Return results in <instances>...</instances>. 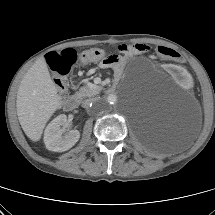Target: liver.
Here are the masks:
<instances>
[{
	"label": "liver",
	"mask_w": 215,
	"mask_h": 215,
	"mask_svg": "<svg viewBox=\"0 0 215 215\" xmlns=\"http://www.w3.org/2000/svg\"><path fill=\"white\" fill-rule=\"evenodd\" d=\"M60 105L46 61L40 58L24 75L17 92L18 120L27 137L39 141L46 123Z\"/></svg>",
	"instance_id": "obj_1"
}]
</instances>
